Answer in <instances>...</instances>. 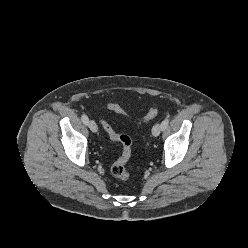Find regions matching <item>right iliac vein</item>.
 Masks as SVG:
<instances>
[{
  "instance_id": "1",
  "label": "right iliac vein",
  "mask_w": 248,
  "mask_h": 248,
  "mask_svg": "<svg viewBox=\"0 0 248 248\" xmlns=\"http://www.w3.org/2000/svg\"><path fill=\"white\" fill-rule=\"evenodd\" d=\"M88 127L89 129L93 132V133H96L98 131V127H97V124L95 123V121L93 120H90L88 122Z\"/></svg>"
}]
</instances>
